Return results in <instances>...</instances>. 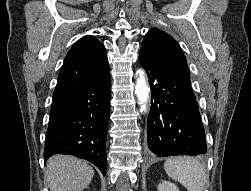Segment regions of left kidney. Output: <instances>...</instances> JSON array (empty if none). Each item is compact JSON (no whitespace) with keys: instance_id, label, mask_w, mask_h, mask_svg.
Instances as JSON below:
<instances>
[{"instance_id":"left-kidney-1","label":"left kidney","mask_w":251,"mask_h":191,"mask_svg":"<svg viewBox=\"0 0 251 191\" xmlns=\"http://www.w3.org/2000/svg\"><path fill=\"white\" fill-rule=\"evenodd\" d=\"M158 191H179V187L171 181H161L158 185Z\"/></svg>"}]
</instances>
